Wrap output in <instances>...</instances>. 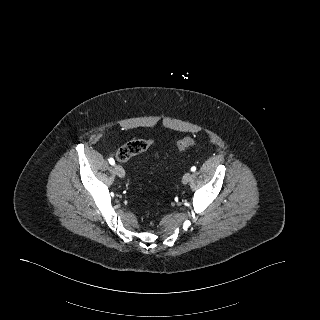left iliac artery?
Segmentation results:
<instances>
[{"label":"left iliac artery","instance_id":"1","mask_svg":"<svg viewBox=\"0 0 320 320\" xmlns=\"http://www.w3.org/2000/svg\"><path fill=\"white\" fill-rule=\"evenodd\" d=\"M191 171L195 172L196 171V167L195 166L191 167Z\"/></svg>","mask_w":320,"mask_h":320}]
</instances>
